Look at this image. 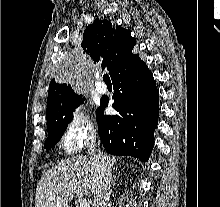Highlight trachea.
<instances>
[{"instance_id": "1", "label": "trachea", "mask_w": 220, "mask_h": 207, "mask_svg": "<svg viewBox=\"0 0 220 207\" xmlns=\"http://www.w3.org/2000/svg\"><path fill=\"white\" fill-rule=\"evenodd\" d=\"M103 80H104L105 83H111V80H110V77H109L108 74H104Z\"/></svg>"}]
</instances>
